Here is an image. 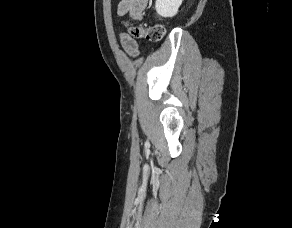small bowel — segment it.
<instances>
[{
    "mask_svg": "<svg viewBox=\"0 0 292 228\" xmlns=\"http://www.w3.org/2000/svg\"><path fill=\"white\" fill-rule=\"evenodd\" d=\"M148 0H120L117 6V14L122 17L131 15L140 20L147 6ZM123 49L131 56L135 57L139 54L137 42L127 33L120 35Z\"/></svg>",
    "mask_w": 292,
    "mask_h": 228,
    "instance_id": "c3829d8e",
    "label": "small bowel"
}]
</instances>
